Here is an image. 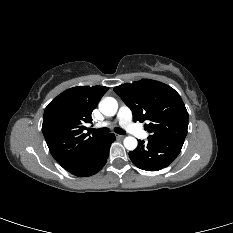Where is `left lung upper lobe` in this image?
<instances>
[{
    "label": "left lung upper lobe",
    "instance_id": "obj_1",
    "mask_svg": "<svg viewBox=\"0 0 233 233\" xmlns=\"http://www.w3.org/2000/svg\"><path fill=\"white\" fill-rule=\"evenodd\" d=\"M132 110L133 121H144L150 135L148 140L184 141L188 128V112L180 95L170 86L142 79L114 88Z\"/></svg>",
    "mask_w": 233,
    "mask_h": 233
}]
</instances>
